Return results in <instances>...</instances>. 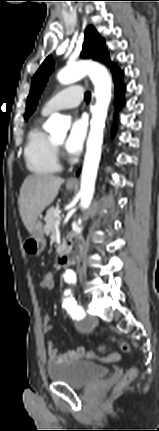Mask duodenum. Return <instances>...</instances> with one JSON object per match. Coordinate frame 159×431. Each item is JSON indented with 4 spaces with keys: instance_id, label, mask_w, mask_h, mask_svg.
<instances>
[{
    "instance_id": "obj_1",
    "label": "duodenum",
    "mask_w": 159,
    "mask_h": 431,
    "mask_svg": "<svg viewBox=\"0 0 159 431\" xmlns=\"http://www.w3.org/2000/svg\"><path fill=\"white\" fill-rule=\"evenodd\" d=\"M83 252L81 239L72 237L57 259L58 266H67L77 260Z\"/></svg>"
}]
</instances>
